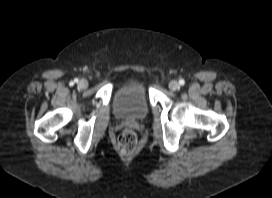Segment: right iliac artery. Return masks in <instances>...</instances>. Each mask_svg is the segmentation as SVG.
I'll return each mask as SVG.
<instances>
[{"mask_svg":"<svg viewBox=\"0 0 272 198\" xmlns=\"http://www.w3.org/2000/svg\"><path fill=\"white\" fill-rule=\"evenodd\" d=\"M74 82H78V79H75ZM73 84V83H72Z\"/></svg>","mask_w":272,"mask_h":198,"instance_id":"obj_1","label":"right iliac artery"}]
</instances>
